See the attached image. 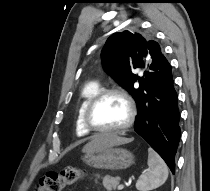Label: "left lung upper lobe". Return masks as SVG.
Masks as SVG:
<instances>
[{
  "label": "left lung upper lobe",
  "mask_w": 210,
  "mask_h": 191,
  "mask_svg": "<svg viewBox=\"0 0 210 191\" xmlns=\"http://www.w3.org/2000/svg\"><path fill=\"white\" fill-rule=\"evenodd\" d=\"M102 64L105 71L125 88L137 102L149 84L150 76L166 60L156 41H148L141 34L125 30L111 35L103 47ZM144 70L143 76L133 73ZM138 82L139 87H134Z\"/></svg>",
  "instance_id": "left-lung-upper-lobe-1"
}]
</instances>
